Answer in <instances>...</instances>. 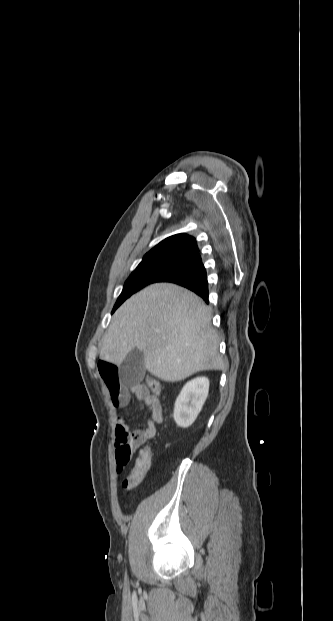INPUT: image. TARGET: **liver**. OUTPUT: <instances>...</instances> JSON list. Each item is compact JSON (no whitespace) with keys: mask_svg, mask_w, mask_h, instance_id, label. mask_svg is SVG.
<instances>
[{"mask_svg":"<svg viewBox=\"0 0 333 621\" xmlns=\"http://www.w3.org/2000/svg\"><path fill=\"white\" fill-rule=\"evenodd\" d=\"M211 319L210 310L193 292L175 284L150 285L115 312L100 358L118 366L137 348L145 368L168 382L220 370L224 363Z\"/></svg>","mask_w":333,"mask_h":621,"instance_id":"6515ba94","label":"liver"}]
</instances>
